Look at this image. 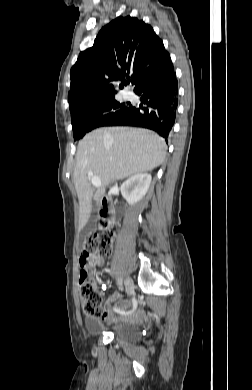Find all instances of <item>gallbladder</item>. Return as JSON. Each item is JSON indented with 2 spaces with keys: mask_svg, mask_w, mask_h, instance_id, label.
I'll return each instance as SVG.
<instances>
[{
  "mask_svg": "<svg viewBox=\"0 0 252 390\" xmlns=\"http://www.w3.org/2000/svg\"><path fill=\"white\" fill-rule=\"evenodd\" d=\"M96 228H97V214H96V209H93V212L89 220L80 231L81 238L82 239L86 238L91 232H94Z\"/></svg>",
  "mask_w": 252,
  "mask_h": 390,
  "instance_id": "bac80fb5",
  "label": "gallbladder"
}]
</instances>
